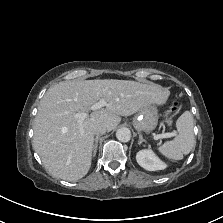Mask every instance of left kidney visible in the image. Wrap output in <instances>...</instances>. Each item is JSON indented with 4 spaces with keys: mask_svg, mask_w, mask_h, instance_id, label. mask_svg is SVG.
Segmentation results:
<instances>
[{
    "mask_svg": "<svg viewBox=\"0 0 223 223\" xmlns=\"http://www.w3.org/2000/svg\"><path fill=\"white\" fill-rule=\"evenodd\" d=\"M137 163L148 171L163 170L166 164L162 162L151 149H144L136 155Z\"/></svg>",
    "mask_w": 223,
    "mask_h": 223,
    "instance_id": "left-kidney-1",
    "label": "left kidney"
}]
</instances>
